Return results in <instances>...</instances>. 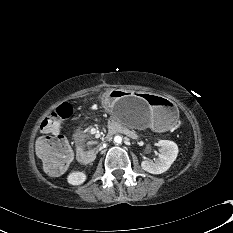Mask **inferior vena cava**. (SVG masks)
I'll return each instance as SVG.
<instances>
[{"label":"inferior vena cava","instance_id":"1","mask_svg":"<svg viewBox=\"0 0 233 233\" xmlns=\"http://www.w3.org/2000/svg\"><path fill=\"white\" fill-rule=\"evenodd\" d=\"M102 148H103V147H102V146H100V147H99V150H102Z\"/></svg>","mask_w":233,"mask_h":233}]
</instances>
